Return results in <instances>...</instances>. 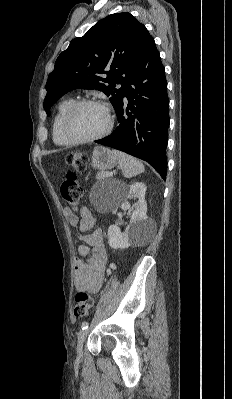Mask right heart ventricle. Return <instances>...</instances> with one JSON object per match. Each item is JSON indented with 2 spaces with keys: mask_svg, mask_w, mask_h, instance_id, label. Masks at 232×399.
Listing matches in <instances>:
<instances>
[{
  "mask_svg": "<svg viewBox=\"0 0 232 399\" xmlns=\"http://www.w3.org/2000/svg\"><path fill=\"white\" fill-rule=\"evenodd\" d=\"M75 103L74 99H68L61 102L55 109V113L52 120V139L53 142L63 148H71L76 144L70 141L64 134L62 129V121L64 114L68 108Z\"/></svg>",
  "mask_w": 232,
  "mask_h": 399,
  "instance_id": "e07e8e85",
  "label": "right heart ventricle"
}]
</instances>
